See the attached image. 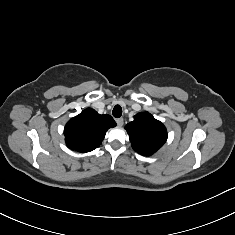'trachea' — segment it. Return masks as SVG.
Listing matches in <instances>:
<instances>
[{"label":"trachea","instance_id":"3493384b","mask_svg":"<svg viewBox=\"0 0 235 235\" xmlns=\"http://www.w3.org/2000/svg\"><path fill=\"white\" fill-rule=\"evenodd\" d=\"M113 113V116L116 117V118H119L121 117L122 115V108L120 105H116L112 111Z\"/></svg>","mask_w":235,"mask_h":235}]
</instances>
